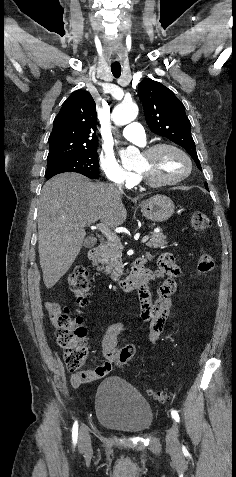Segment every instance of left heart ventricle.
<instances>
[{"label":"left heart ventricle","instance_id":"left-heart-ventricle-1","mask_svg":"<svg viewBox=\"0 0 236 477\" xmlns=\"http://www.w3.org/2000/svg\"><path fill=\"white\" fill-rule=\"evenodd\" d=\"M135 168L155 181H163L177 178L185 173L187 162L176 151L164 149L150 158L141 155Z\"/></svg>","mask_w":236,"mask_h":477}]
</instances>
